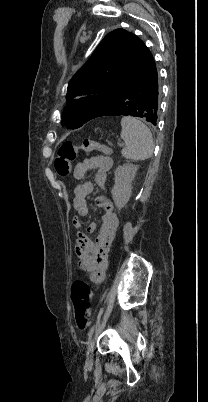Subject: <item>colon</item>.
<instances>
[{
	"instance_id": "1",
	"label": "colon",
	"mask_w": 208,
	"mask_h": 402,
	"mask_svg": "<svg viewBox=\"0 0 208 402\" xmlns=\"http://www.w3.org/2000/svg\"><path fill=\"white\" fill-rule=\"evenodd\" d=\"M92 151L108 154L110 150L105 145L91 140H85L81 144L63 141L58 148L53 168L59 176L66 177L70 174L72 165L77 160L79 153H90ZM71 294L75 308L76 324L81 330H84L88 326L92 315L93 292L85 280L79 279L73 282Z\"/></svg>"
}]
</instances>
